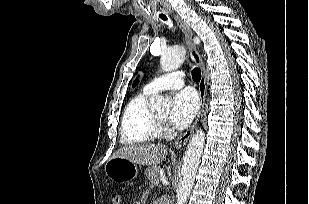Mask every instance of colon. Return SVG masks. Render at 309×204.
I'll return each mask as SVG.
<instances>
[{"instance_id":"obj_1","label":"colon","mask_w":309,"mask_h":204,"mask_svg":"<svg viewBox=\"0 0 309 204\" xmlns=\"http://www.w3.org/2000/svg\"><path fill=\"white\" fill-rule=\"evenodd\" d=\"M111 197L113 204H121V195L119 193H113Z\"/></svg>"}]
</instances>
